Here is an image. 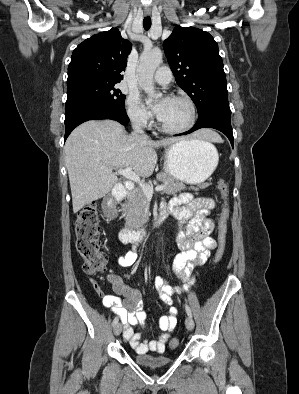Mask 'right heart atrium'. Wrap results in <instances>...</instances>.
<instances>
[{
  "label": "right heart atrium",
  "mask_w": 299,
  "mask_h": 394,
  "mask_svg": "<svg viewBox=\"0 0 299 394\" xmlns=\"http://www.w3.org/2000/svg\"><path fill=\"white\" fill-rule=\"evenodd\" d=\"M127 114L130 121L145 128L151 123V114L143 107L136 93H131L126 100Z\"/></svg>",
  "instance_id": "d8ad5b80"
}]
</instances>
